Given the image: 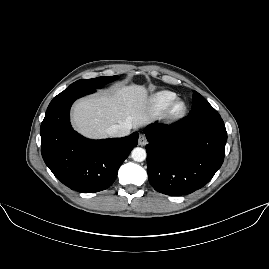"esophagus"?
<instances>
[{
    "instance_id": "34e87169",
    "label": "esophagus",
    "mask_w": 269,
    "mask_h": 269,
    "mask_svg": "<svg viewBox=\"0 0 269 269\" xmlns=\"http://www.w3.org/2000/svg\"><path fill=\"white\" fill-rule=\"evenodd\" d=\"M138 144L140 146H145L147 144V139H146L145 135L141 134L139 136Z\"/></svg>"
}]
</instances>
